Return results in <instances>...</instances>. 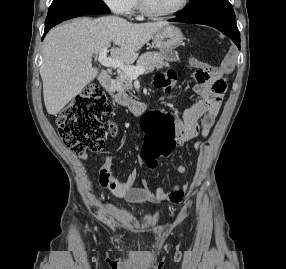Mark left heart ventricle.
Instances as JSON below:
<instances>
[{
    "instance_id": "b2bd125f",
    "label": "left heart ventricle",
    "mask_w": 286,
    "mask_h": 269,
    "mask_svg": "<svg viewBox=\"0 0 286 269\" xmlns=\"http://www.w3.org/2000/svg\"><path fill=\"white\" fill-rule=\"evenodd\" d=\"M147 7L156 13L167 12L177 7L181 0H145Z\"/></svg>"
}]
</instances>
